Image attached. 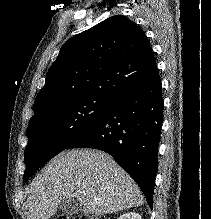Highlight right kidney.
<instances>
[{
	"instance_id": "obj_1",
	"label": "right kidney",
	"mask_w": 211,
	"mask_h": 219,
	"mask_svg": "<svg viewBox=\"0 0 211 219\" xmlns=\"http://www.w3.org/2000/svg\"><path fill=\"white\" fill-rule=\"evenodd\" d=\"M118 219H141V216L135 212H127L122 214Z\"/></svg>"
}]
</instances>
